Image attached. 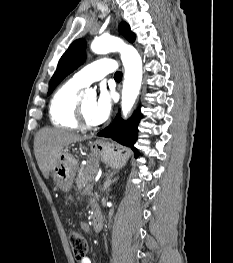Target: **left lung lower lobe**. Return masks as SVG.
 <instances>
[{
  "mask_svg": "<svg viewBox=\"0 0 233 263\" xmlns=\"http://www.w3.org/2000/svg\"><path fill=\"white\" fill-rule=\"evenodd\" d=\"M141 117L140 112L136 111L129 120L124 121L118 114L111 126L99 132L98 136L112 138L120 144L130 147L134 151L135 157L137 158L139 152L134 147V144L137 140V126Z\"/></svg>",
  "mask_w": 233,
  "mask_h": 263,
  "instance_id": "1",
  "label": "left lung lower lobe"
}]
</instances>
